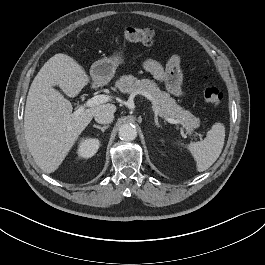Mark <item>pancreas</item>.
<instances>
[{"mask_svg":"<svg viewBox=\"0 0 265 265\" xmlns=\"http://www.w3.org/2000/svg\"><path fill=\"white\" fill-rule=\"evenodd\" d=\"M116 87L123 93L149 97L153 108L158 110L160 115L178 120L185 126L187 133H191L200 125L201 121L198 117L176 104V101L168 93L161 91L154 81L140 80L132 75H125L116 82Z\"/></svg>","mask_w":265,"mask_h":265,"instance_id":"cf45deb5","label":"pancreas"}]
</instances>
